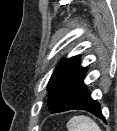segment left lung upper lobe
<instances>
[{"label":"left lung upper lobe","mask_w":117,"mask_h":131,"mask_svg":"<svg viewBox=\"0 0 117 131\" xmlns=\"http://www.w3.org/2000/svg\"><path fill=\"white\" fill-rule=\"evenodd\" d=\"M87 67L80 66V56L62 60L54 70L48 84L49 109L63 112L72 103L71 92L85 87Z\"/></svg>","instance_id":"obj_1"}]
</instances>
